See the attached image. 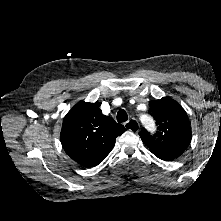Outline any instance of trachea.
I'll return each mask as SVG.
<instances>
[{
    "label": "trachea",
    "mask_w": 221,
    "mask_h": 221,
    "mask_svg": "<svg viewBox=\"0 0 221 221\" xmlns=\"http://www.w3.org/2000/svg\"><path fill=\"white\" fill-rule=\"evenodd\" d=\"M128 119V115L126 113V111L124 109H120L117 113V121L119 123H123L125 121H127Z\"/></svg>",
    "instance_id": "obj_1"
}]
</instances>
